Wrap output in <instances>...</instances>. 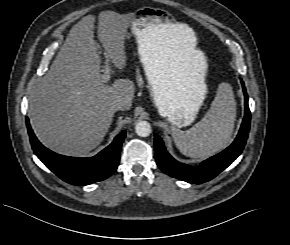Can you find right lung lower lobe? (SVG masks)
I'll use <instances>...</instances> for the list:
<instances>
[{"mask_svg":"<svg viewBox=\"0 0 290 245\" xmlns=\"http://www.w3.org/2000/svg\"><path fill=\"white\" fill-rule=\"evenodd\" d=\"M26 124L30 142L36 156L53 173L67 183L83 186L101 181L111 176L118 167L120 148L126 135L125 130L116 136L114 141L96 156L76 158L59 155L44 147L34 135L27 117Z\"/></svg>","mask_w":290,"mask_h":245,"instance_id":"1","label":"right lung lower lobe"}]
</instances>
